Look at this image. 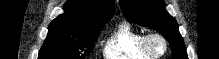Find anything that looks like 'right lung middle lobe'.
Here are the masks:
<instances>
[{
  "label": "right lung middle lobe",
  "mask_w": 219,
  "mask_h": 59,
  "mask_svg": "<svg viewBox=\"0 0 219 59\" xmlns=\"http://www.w3.org/2000/svg\"><path fill=\"white\" fill-rule=\"evenodd\" d=\"M103 26L51 22L38 59H85Z\"/></svg>",
  "instance_id": "1"
}]
</instances>
